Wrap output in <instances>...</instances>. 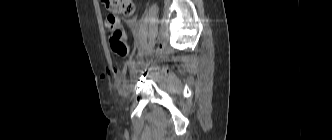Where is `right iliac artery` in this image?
I'll return each instance as SVG.
<instances>
[{"label":"right iliac artery","mask_w":332,"mask_h":140,"mask_svg":"<svg viewBox=\"0 0 332 140\" xmlns=\"http://www.w3.org/2000/svg\"><path fill=\"white\" fill-rule=\"evenodd\" d=\"M134 65H135V61H134V60H130V61L128 62V66H129V68H132Z\"/></svg>","instance_id":"obj_1"}]
</instances>
